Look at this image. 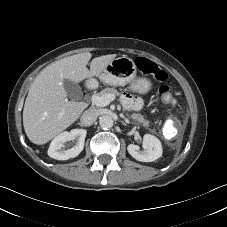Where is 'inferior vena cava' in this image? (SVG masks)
<instances>
[{"label": "inferior vena cava", "instance_id": "inferior-vena-cava-1", "mask_svg": "<svg viewBox=\"0 0 227 227\" xmlns=\"http://www.w3.org/2000/svg\"><path fill=\"white\" fill-rule=\"evenodd\" d=\"M97 118L98 112L95 109H88L82 114L80 120L82 126H91Z\"/></svg>", "mask_w": 227, "mask_h": 227}]
</instances>
